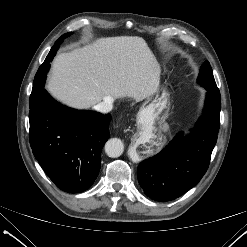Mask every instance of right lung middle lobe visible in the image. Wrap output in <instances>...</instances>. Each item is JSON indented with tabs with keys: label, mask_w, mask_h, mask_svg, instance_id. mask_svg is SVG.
Masks as SVG:
<instances>
[{
	"label": "right lung middle lobe",
	"mask_w": 247,
	"mask_h": 247,
	"mask_svg": "<svg viewBox=\"0 0 247 247\" xmlns=\"http://www.w3.org/2000/svg\"><path fill=\"white\" fill-rule=\"evenodd\" d=\"M69 35H70V33H66V34L62 35L55 42L54 46L51 48L49 54L47 55L45 61L43 62V64L38 69V71L35 75V78H34V82H33V88H32V93L30 95L29 106L32 105L36 101V99L39 97V95L43 91V89H44L43 87H44L45 80H46V75H47V72H48L49 67H50L49 63L52 61L53 57L55 56L56 51L59 48V45L62 43L63 39H65Z\"/></svg>",
	"instance_id": "1"
}]
</instances>
